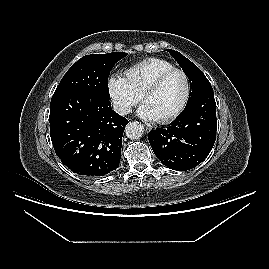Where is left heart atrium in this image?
<instances>
[{
  "label": "left heart atrium",
  "mask_w": 269,
  "mask_h": 269,
  "mask_svg": "<svg viewBox=\"0 0 269 269\" xmlns=\"http://www.w3.org/2000/svg\"><path fill=\"white\" fill-rule=\"evenodd\" d=\"M137 114L144 120L154 121L157 119L152 110L150 109V107L146 103H143L139 107Z\"/></svg>",
  "instance_id": "left-heart-atrium-1"
}]
</instances>
